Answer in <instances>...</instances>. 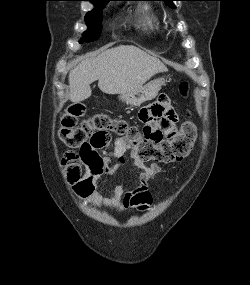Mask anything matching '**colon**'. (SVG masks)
Here are the masks:
<instances>
[{"label":"colon","instance_id":"colon-1","mask_svg":"<svg viewBox=\"0 0 250 285\" xmlns=\"http://www.w3.org/2000/svg\"><path fill=\"white\" fill-rule=\"evenodd\" d=\"M180 91L187 92V84L181 83ZM86 107L81 103L71 105L61 119L59 136L69 147L86 149L90 146L105 147L110 142V133H115L131 144L135 155L142 161L162 163L183 159L191 151L196 137L197 128L191 121L184 122L175 136H170L164 144H153V141H142L143 131L121 118H112L107 114L98 113L81 122ZM77 157L68 154L64 160L69 165V176L78 181L79 168Z\"/></svg>","mask_w":250,"mask_h":285}]
</instances>
